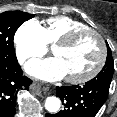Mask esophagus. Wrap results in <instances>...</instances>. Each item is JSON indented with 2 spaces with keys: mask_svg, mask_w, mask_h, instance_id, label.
<instances>
[{
  "mask_svg": "<svg viewBox=\"0 0 117 117\" xmlns=\"http://www.w3.org/2000/svg\"><path fill=\"white\" fill-rule=\"evenodd\" d=\"M32 89L33 90H35L36 92H38V93H47L48 92V90H49V88H47V87H42V86H40L39 84H37V83H33L32 84Z\"/></svg>",
  "mask_w": 117,
  "mask_h": 117,
  "instance_id": "1",
  "label": "esophagus"
}]
</instances>
